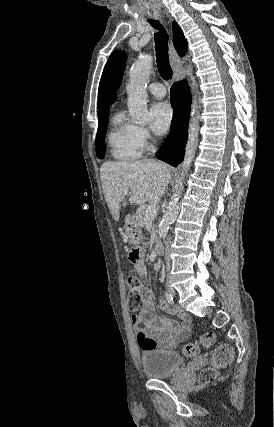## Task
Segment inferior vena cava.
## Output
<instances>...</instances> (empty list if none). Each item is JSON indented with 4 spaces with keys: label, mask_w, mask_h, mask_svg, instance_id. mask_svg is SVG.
I'll list each match as a JSON object with an SVG mask.
<instances>
[{
    "label": "inferior vena cava",
    "mask_w": 274,
    "mask_h": 427,
    "mask_svg": "<svg viewBox=\"0 0 274 427\" xmlns=\"http://www.w3.org/2000/svg\"><path fill=\"white\" fill-rule=\"evenodd\" d=\"M170 243H171V241H166V253H168V249H169ZM166 263H167V267H169V265H170V257H168V255H166Z\"/></svg>",
    "instance_id": "1"
}]
</instances>
